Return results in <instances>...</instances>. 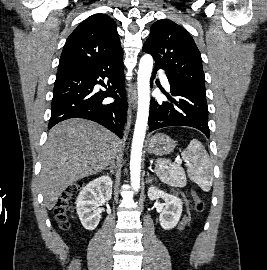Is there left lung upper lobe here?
I'll return each instance as SVG.
<instances>
[{"label":"left lung upper lobe","instance_id":"left-lung-upper-lobe-1","mask_svg":"<svg viewBox=\"0 0 267 270\" xmlns=\"http://www.w3.org/2000/svg\"><path fill=\"white\" fill-rule=\"evenodd\" d=\"M143 51L155 59V67L165 70L170 84L206 96L201 54L191 35L168 19L156 21Z\"/></svg>","mask_w":267,"mask_h":270}]
</instances>
